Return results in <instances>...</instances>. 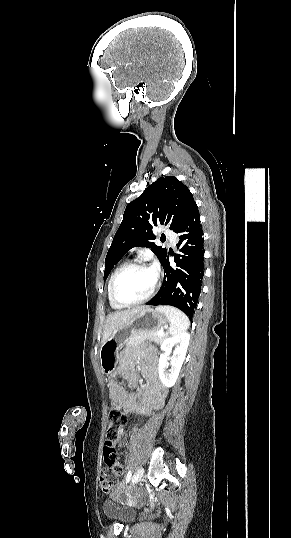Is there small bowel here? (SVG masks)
<instances>
[{"label":"small bowel","mask_w":291,"mask_h":538,"mask_svg":"<svg viewBox=\"0 0 291 538\" xmlns=\"http://www.w3.org/2000/svg\"><path fill=\"white\" fill-rule=\"evenodd\" d=\"M142 372L146 378V384L136 394L127 392L116 380L121 374L132 387L138 384V374L135 364L128 354L125 353L121 356V363L118 370L113 369L109 373V399L112 404L119 406L125 413L147 415L163 397V388L156 364L153 361L144 363L142 365ZM116 441L120 446L127 445V437L123 433L120 434ZM118 467L121 469L119 465Z\"/></svg>","instance_id":"small-bowel-1"}]
</instances>
